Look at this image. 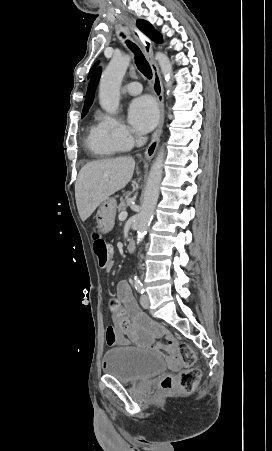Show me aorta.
Returning <instances> with one entry per match:
<instances>
[{
  "label": "aorta",
  "instance_id": "1",
  "mask_svg": "<svg viewBox=\"0 0 272 451\" xmlns=\"http://www.w3.org/2000/svg\"><path fill=\"white\" fill-rule=\"evenodd\" d=\"M161 72L166 82L167 90L172 88V64L162 52H157L155 56ZM131 62V56H113L107 68H105L99 86V104L108 114H115L119 106V90L123 76ZM169 94V92H168ZM164 148H160L158 156L152 164L147 186L144 192V200L141 206V212L138 214V229H137V243L142 241L145 231L149 226L152 216L155 212L156 204L158 202L160 184L162 180L163 162H164Z\"/></svg>",
  "mask_w": 272,
  "mask_h": 451
}]
</instances>
